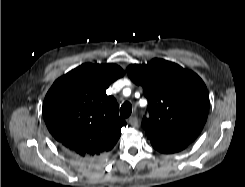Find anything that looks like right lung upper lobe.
<instances>
[{"mask_svg":"<svg viewBox=\"0 0 245 187\" xmlns=\"http://www.w3.org/2000/svg\"><path fill=\"white\" fill-rule=\"evenodd\" d=\"M122 76V68L115 64L86 63L54 82L44 99L43 116L62 147L95 159L115 146L126 122L106 89Z\"/></svg>","mask_w":245,"mask_h":187,"instance_id":"right-lung-upper-lobe-1","label":"right lung upper lobe"}]
</instances>
